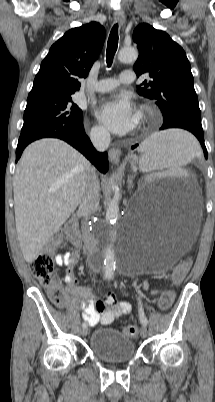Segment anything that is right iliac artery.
<instances>
[{"label": "right iliac artery", "mask_w": 215, "mask_h": 402, "mask_svg": "<svg viewBox=\"0 0 215 402\" xmlns=\"http://www.w3.org/2000/svg\"><path fill=\"white\" fill-rule=\"evenodd\" d=\"M87 324L86 323H82V328H86Z\"/></svg>", "instance_id": "82829eb1"}]
</instances>
